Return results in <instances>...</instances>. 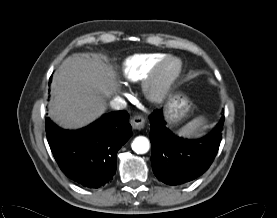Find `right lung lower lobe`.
Returning <instances> with one entry per match:
<instances>
[{"instance_id": "obj_1", "label": "right lung lower lobe", "mask_w": 277, "mask_h": 218, "mask_svg": "<svg viewBox=\"0 0 277 218\" xmlns=\"http://www.w3.org/2000/svg\"><path fill=\"white\" fill-rule=\"evenodd\" d=\"M51 151L64 174L88 188L104 186L116 172V156L131 137L126 111L111 112L79 130H63L46 119Z\"/></svg>"}]
</instances>
